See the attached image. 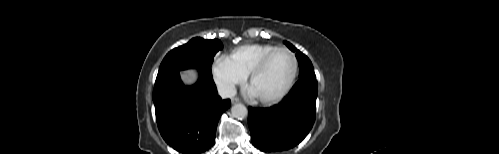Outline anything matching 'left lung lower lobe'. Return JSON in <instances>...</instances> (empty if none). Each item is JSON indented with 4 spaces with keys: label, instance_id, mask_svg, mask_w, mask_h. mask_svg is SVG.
I'll return each mask as SVG.
<instances>
[{
    "label": "left lung lower lobe",
    "instance_id": "1",
    "mask_svg": "<svg viewBox=\"0 0 499 154\" xmlns=\"http://www.w3.org/2000/svg\"><path fill=\"white\" fill-rule=\"evenodd\" d=\"M317 94L316 79L304 77L278 105L250 107L248 125L254 146L264 152H276L298 145L314 124Z\"/></svg>",
    "mask_w": 499,
    "mask_h": 154
}]
</instances>
